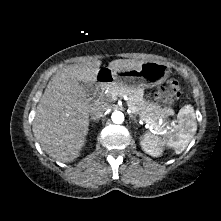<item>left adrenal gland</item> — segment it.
Wrapping results in <instances>:
<instances>
[{
	"label": "left adrenal gland",
	"instance_id": "a2214340",
	"mask_svg": "<svg viewBox=\"0 0 221 221\" xmlns=\"http://www.w3.org/2000/svg\"><path fill=\"white\" fill-rule=\"evenodd\" d=\"M129 117H130L132 120H134L135 123H137V119H136L135 116H133L132 114H130Z\"/></svg>",
	"mask_w": 221,
	"mask_h": 221
}]
</instances>
